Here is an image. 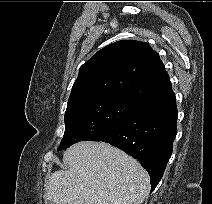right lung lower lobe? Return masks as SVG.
Here are the masks:
<instances>
[{"label": "right lung lower lobe", "mask_w": 212, "mask_h": 204, "mask_svg": "<svg viewBox=\"0 0 212 204\" xmlns=\"http://www.w3.org/2000/svg\"><path fill=\"white\" fill-rule=\"evenodd\" d=\"M176 122V98L169 89L142 102L121 124L92 141L109 143L137 159L151 177L152 192L171 157Z\"/></svg>", "instance_id": "98d812e1"}]
</instances>
